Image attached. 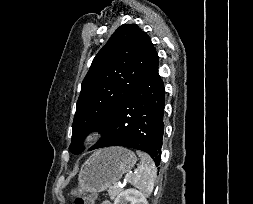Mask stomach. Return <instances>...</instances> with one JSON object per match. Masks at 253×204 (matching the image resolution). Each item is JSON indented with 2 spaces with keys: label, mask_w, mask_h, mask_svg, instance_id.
Returning <instances> with one entry per match:
<instances>
[{
  "label": "stomach",
  "mask_w": 253,
  "mask_h": 204,
  "mask_svg": "<svg viewBox=\"0 0 253 204\" xmlns=\"http://www.w3.org/2000/svg\"><path fill=\"white\" fill-rule=\"evenodd\" d=\"M136 163V155L124 147H110L94 152L82 165L78 187L73 196L107 190L120 180Z\"/></svg>",
  "instance_id": "obj_1"
}]
</instances>
